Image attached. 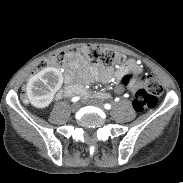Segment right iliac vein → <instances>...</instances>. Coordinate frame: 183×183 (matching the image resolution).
Segmentation results:
<instances>
[{"label":"right iliac vein","mask_w":183,"mask_h":183,"mask_svg":"<svg viewBox=\"0 0 183 183\" xmlns=\"http://www.w3.org/2000/svg\"><path fill=\"white\" fill-rule=\"evenodd\" d=\"M79 108H80V104H79V103H74V104L71 106V110H72L73 112L78 111Z\"/></svg>","instance_id":"63e3f726"}]
</instances>
